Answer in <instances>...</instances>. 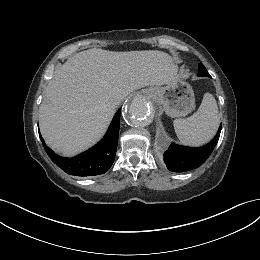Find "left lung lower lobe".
Returning a JSON list of instances; mask_svg holds the SVG:
<instances>
[{
    "label": "left lung lower lobe",
    "instance_id": "left-lung-lower-lobe-1",
    "mask_svg": "<svg viewBox=\"0 0 260 260\" xmlns=\"http://www.w3.org/2000/svg\"><path fill=\"white\" fill-rule=\"evenodd\" d=\"M221 132V126L214 139L206 146L191 148L172 143L164 153V162L173 172H186L201 166L215 148Z\"/></svg>",
    "mask_w": 260,
    "mask_h": 260
}]
</instances>
